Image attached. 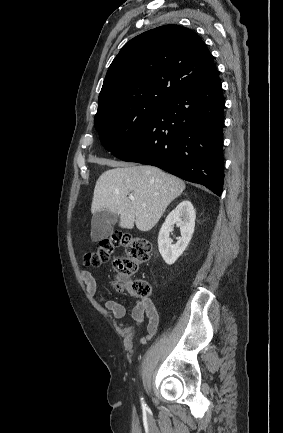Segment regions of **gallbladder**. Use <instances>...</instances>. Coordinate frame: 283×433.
Here are the masks:
<instances>
[{"label": "gallbladder", "instance_id": "bac80fb5", "mask_svg": "<svg viewBox=\"0 0 283 433\" xmlns=\"http://www.w3.org/2000/svg\"><path fill=\"white\" fill-rule=\"evenodd\" d=\"M118 221V214L110 210H97L91 221V239L94 243L112 235L113 225Z\"/></svg>", "mask_w": 283, "mask_h": 433}]
</instances>
